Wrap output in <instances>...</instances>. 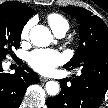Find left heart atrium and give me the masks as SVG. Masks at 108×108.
Masks as SVG:
<instances>
[{
    "instance_id": "39dd6f15",
    "label": "left heart atrium",
    "mask_w": 108,
    "mask_h": 108,
    "mask_svg": "<svg viewBox=\"0 0 108 108\" xmlns=\"http://www.w3.org/2000/svg\"><path fill=\"white\" fill-rule=\"evenodd\" d=\"M63 60L59 52L51 49H36L27 55L28 64L41 74L51 73Z\"/></svg>"
}]
</instances>
